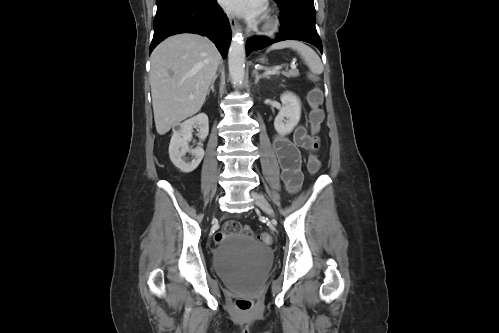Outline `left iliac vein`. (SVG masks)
I'll return each mask as SVG.
<instances>
[{
	"mask_svg": "<svg viewBox=\"0 0 499 333\" xmlns=\"http://www.w3.org/2000/svg\"><path fill=\"white\" fill-rule=\"evenodd\" d=\"M250 194H251V197L254 199V203L259 208H261L269 216H274V211L264 196L260 195L257 192H254V191H252Z\"/></svg>",
	"mask_w": 499,
	"mask_h": 333,
	"instance_id": "1",
	"label": "left iliac vein"
}]
</instances>
